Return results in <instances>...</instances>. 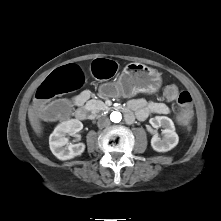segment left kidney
<instances>
[{
	"instance_id": "1",
	"label": "left kidney",
	"mask_w": 221,
	"mask_h": 221,
	"mask_svg": "<svg viewBox=\"0 0 221 221\" xmlns=\"http://www.w3.org/2000/svg\"><path fill=\"white\" fill-rule=\"evenodd\" d=\"M154 128L162 127L163 138L161 139L155 134L151 139V146L157 152H167L173 149L179 141V137L175 132L173 121L166 116H156L149 120Z\"/></svg>"
}]
</instances>
